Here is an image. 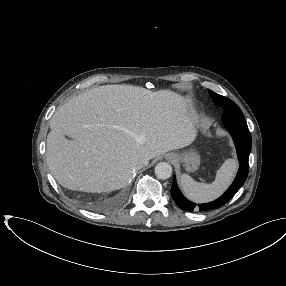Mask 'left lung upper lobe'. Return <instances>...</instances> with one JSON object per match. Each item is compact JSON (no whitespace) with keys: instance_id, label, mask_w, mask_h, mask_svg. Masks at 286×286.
I'll return each mask as SVG.
<instances>
[{"instance_id":"obj_1","label":"left lung upper lobe","mask_w":286,"mask_h":286,"mask_svg":"<svg viewBox=\"0 0 286 286\" xmlns=\"http://www.w3.org/2000/svg\"><path fill=\"white\" fill-rule=\"evenodd\" d=\"M209 94L217 106H221L224 110L223 115H239L244 116L241 109L230 99L209 91ZM222 115V116H223Z\"/></svg>"}]
</instances>
